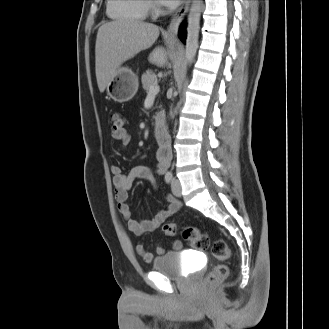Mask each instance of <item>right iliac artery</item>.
<instances>
[{"label": "right iliac artery", "mask_w": 329, "mask_h": 329, "mask_svg": "<svg viewBox=\"0 0 329 329\" xmlns=\"http://www.w3.org/2000/svg\"><path fill=\"white\" fill-rule=\"evenodd\" d=\"M165 181L166 183H171L173 181V175L171 172H167L165 175Z\"/></svg>", "instance_id": "obj_1"}]
</instances>
